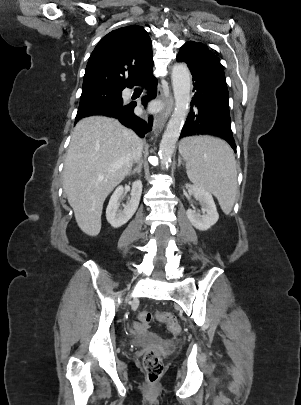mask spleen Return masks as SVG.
I'll list each match as a JSON object with an SVG mask.
<instances>
[{
  "instance_id": "1",
  "label": "spleen",
  "mask_w": 301,
  "mask_h": 405,
  "mask_svg": "<svg viewBox=\"0 0 301 405\" xmlns=\"http://www.w3.org/2000/svg\"><path fill=\"white\" fill-rule=\"evenodd\" d=\"M188 178L211 192L225 214L233 208L237 191L235 156L223 140L210 136L186 137L179 144Z\"/></svg>"
}]
</instances>
